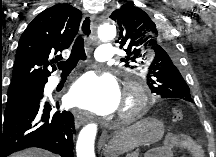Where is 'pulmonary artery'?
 <instances>
[{"label": "pulmonary artery", "instance_id": "e3ab8cb5", "mask_svg": "<svg viewBox=\"0 0 216 157\" xmlns=\"http://www.w3.org/2000/svg\"><path fill=\"white\" fill-rule=\"evenodd\" d=\"M96 60L104 62V61H110L114 57V51L112 45H101L99 46L94 54ZM60 82L59 78H54L50 82V87H55Z\"/></svg>", "mask_w": 216, "mask_h": 157}]
</instances>
